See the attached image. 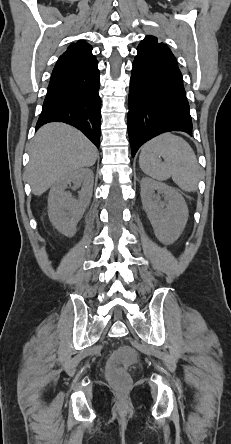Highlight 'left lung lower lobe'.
<instances>
[{
	"mask_svg": "<svg viewBox=\"0 0 231 444\" xmlns=\"http://www.w3.org/2000/svg\"><path fill=\"white\" fill-rule=\"evenodd\" d=\"M128 133L132 156L151 138L169 131L190 136L189 103L177 61L138 51L132 68L128 99Z\"/></svg>",
	"mask_w": 231,
	"mask_h": 444,
	"instance_id": "1",
	"label": "left lung lower lobe"
}]
</instances>
